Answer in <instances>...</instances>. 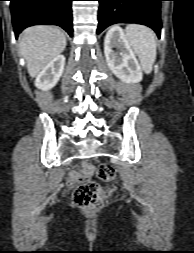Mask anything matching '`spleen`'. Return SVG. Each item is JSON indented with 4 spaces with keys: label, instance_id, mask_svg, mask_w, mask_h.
Masks as SVG:
<instances>
[{
    "label": "spleen",
    "instance_id": "3e777b00",
    "mask_svg": "<svg viewBox=\"0 0 194 253\" xmlns=\"http://www.w3.org/2000/svg\"><path fill=\"white\" fill-rule=\"evenodd\" d=\"M125 36L138 56L142 70L150 74L157 53L155 33L144 25L130 24L125 29Z\"/></svg>",
    "mask_w": 194,
    "mask_h": 253
}]
</instances>
